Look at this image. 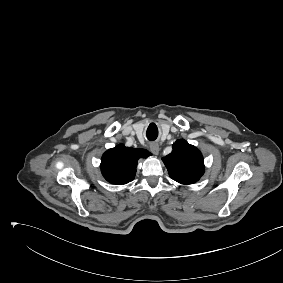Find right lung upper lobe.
Instances as JSON below:
<instances>
[{"instance_id": "right-lung-upper-lobe-1", "label": "right lung upper lobe", "mask_w": 283, "mask_h": 283, "mask_svg": "<svg viewBox=\"0 0 283 283\" xmlns=\"http://www.w3.org/2000/svg\"><path fill=\"white\" fill-rule=\"evenodd\" d=\"M151 153L145 149H134L119 144L107 150L101 159V172L112 184H126L136 175L139 158H147Z\"/></svg>"}]
</instances>
